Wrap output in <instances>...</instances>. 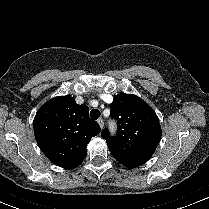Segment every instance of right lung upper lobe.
<instances>
[{
  "mask_svg": "<svg viewBox=\"0 0 209 209\" xmlns=\"http://www.w3.org/2000/svg\"><path fill=\"white\" fill-rule=\"evenodd\" d=\"M88 113L87 105L76 104L70 96L55 97L36 113L35 138L52 163L70 169L83 162L87 144L100 133V126Z\"/></svg>",
  "mask_w": 209,
  "mask_h": 209,
  "instance_id": "1",
  "label": "right lung upper lobe"
}]
</instances>
